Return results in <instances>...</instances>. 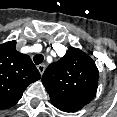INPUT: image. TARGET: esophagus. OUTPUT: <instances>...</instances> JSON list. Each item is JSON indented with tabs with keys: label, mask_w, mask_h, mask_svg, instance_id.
<instances>
[{
	"label": "esophagus",
	"mask_w": 117,
	"mask_h": 117,
	"mask_svg": "<svg viewBox=\"0 0 117 117\" xmlns=\"http://www.w3.org/2000/svg\"><path fill=\"white\" fill-rule=\"evenodd\" d=\"M37 69L40 72V74H43V72L45 71V65L40 64L37 66Z\"/></svg>",
	"instance_id": "obj_1"
}]
</instances>
